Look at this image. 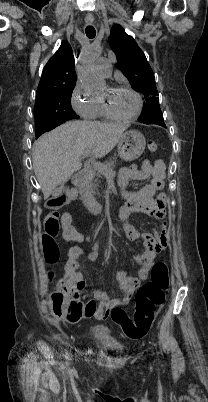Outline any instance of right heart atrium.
<instances>
[{"instance_id":"1","label":"right heart atrium","mask_w":208,"mask_h":402,"mask_svg":"<svg viewBox=\"0 0 208 402\" xmlns=\"http://www.w3.org/2000/svg\"><path fill=\"white\" fill-rule=\"evenodd\" d=\"M72 107L87 120H93L96 115L98 97L90 93L79 81L71 90Z\"/></svg>"}]
</instances>
